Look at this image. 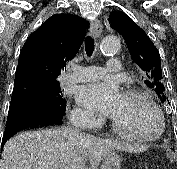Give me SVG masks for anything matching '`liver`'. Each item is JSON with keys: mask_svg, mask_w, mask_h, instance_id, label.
Wrapping results in <instances>:
<instances>
[{"mask_svg": "<svg viewBox=\"0 0 177 169\" xmlns=\"http://www.w3.org/2000/svg\"><path fill=\"white\" fill-rule=\"evenodd\" d=\"M113 150L134 148L68 128L27 131L6 142L0 169H97Z\"/></svg>", "mask_w": 177, "mask_h": 169, "instance_id": "6515ba94", "label": "liver"}]
</instances>
